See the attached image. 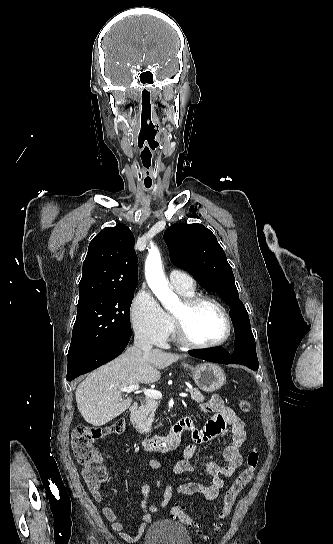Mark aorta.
Here are the masks:
<instances>
[{"instance_id": "1", "label": "aorta", "mask_w": 333, "mask_h": 544, "mask_svg": "<svg viewBox=\"0 0 333 544\" xmlns=\"http://www.w3.org/2000/svg\"><path fill=\"white\" fill-rule=\"evenodd\" d=\"M145 277L150 289L164 308L172 310L178 305V296L168 286L157 249L153 248L149 251L145 264Z\"/></svg>"}]
</instances>
